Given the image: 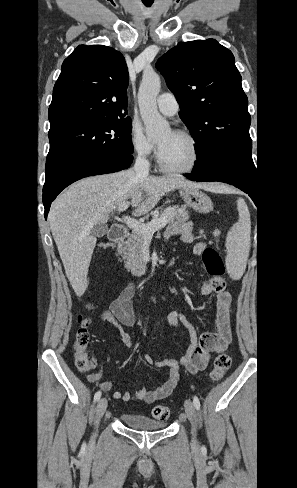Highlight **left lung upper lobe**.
I'll return each mask as SVG.
<instances>
[{"instance_id": "obj_1", "label": "left lung upper lobe", "mask_w": 297, "mask_h": 488, "mask_svg": "<svg viewBox=\"0 0 297 488\" xmlns=\"http://www.w3.org/2000/svg\"><path fill=\"white\" fill-rule=\"evenodd\" d=\"M196 141L193 171L235 166L256 176L248 98L232 52L214 39L179 43L157 62Z\"/></svg>"}]
</instances>
